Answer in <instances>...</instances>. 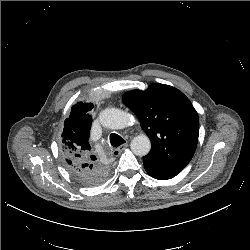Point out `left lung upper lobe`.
<instances>
[{"label":"left lung upper lobe","mask_w":250,"mask_h":250,"mask_svg":"<svg viewBox=\"0 0 250 250\" xmlns=\"http://www.w3.org/2000/svg\"><path fill=\"white\" fill-rule=\"evenodd\" d=\"M122 99L151 140L145 157L165 166H187L199 135L198 114L190 100L178 89L159 83L145 91H129Z\"/></svg>","instance_id":"obj_1"}]
</instances>
